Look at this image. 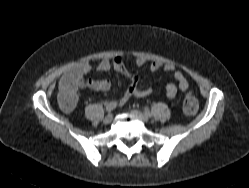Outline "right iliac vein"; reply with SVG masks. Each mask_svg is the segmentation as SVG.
<instances>
[{"label":"right iliac vein","instance_id":"1","mask_svg":"<svg viewBox=\"0 0 249 188\" xmlns=\"http://www.w3.org/2000/svg\"><path fill=\"white\" fill-rule=\"evenodd\" d=\"M112 120H113V115H112V114H108V115L104 118L103 123H104V124H109V123L112 122Z\"/></svg>","mask_w":249,"mask_h":188}]
</instances>
